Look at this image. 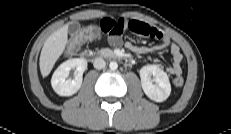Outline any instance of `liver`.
I'll list each match as a JSON object with an SVG mask.
<instances>
[{
	"label": "liver",
	"instance_id": "obj_1",
	"mask_svg": "<svg viewBox=\"0 0 231 134\" xmlns=\"http://www.w3.org/2000/svg\"><path fill=\"white\" fill-rule=\"evenodd\" d=\"M67 42L68 25H64L46 39L39 60L40 71L43 77L49 75L55 62L63 53Z\"/></svg>",
	"mask_w": 231,
	"mask_h": 134
}]
</instances>
